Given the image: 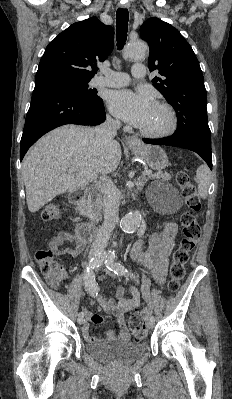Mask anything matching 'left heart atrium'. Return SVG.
I'll use <instances>...</instances> for the list:
<instances>
[{"instance_id": "left-heart-atrium-1", "label": "left heart atrium", "mask_w": 232, "mask_h": 399, "mask_svg": "<svg viewBox=\"0 0 232 399\" xmlns=\"http://www.w3.org/2000/svg\"><path fill=\"white\" fill-rule=\"evenodd\" d=\"M110 112L135 127H140L152 112L153 103L144 93L114 91L108 99Z\"/></svg>"}]
</instances>
